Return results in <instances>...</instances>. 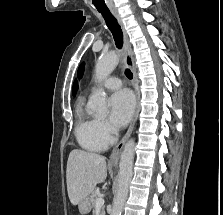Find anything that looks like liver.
<instances>
[{
    "label": "liver",
    "instance_id": "6515ba94",
    "mask_svg": "<svg viewBox=\"0 0 223 215\" xmlns=\"http://www.w3.org/2000/svg\"><path fill=\"white\" fill-rule=\"evenodd\" d=\"M106 157L99 153L72 149L69 153L66 169L67 191L73 205L92 193L96 183L107 177Z\"/></svg>",
    "mask_w": 223,
    "mask_h": 215
}]
</instances>
